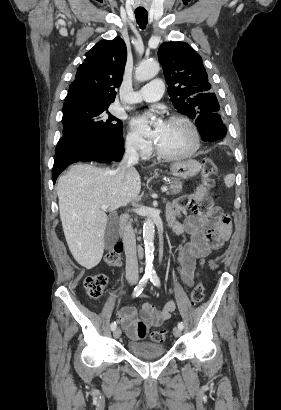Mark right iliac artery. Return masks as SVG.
<instances>
[{
  "mask_svg": "<svg viewBox=\"0 0 281 410\" xmlns=\"http://www.w3.org/2000/svg\"><path fill=\"white\" fill-rule=\"evenodd\" d=\"M150 277L149 274H144L143 277L141 278V280L139 281V284L134 288L133 291V296H138L142 291L143 288L145 287V285L148 282V278ZM117 327L116 322H112L111 323V330H115Z\"/></svg>",
  "mask_w": 281,
  "mask_h": 410,
  "instance_id": "1",
  "label": "right iliac artery"
}]
</instances>
